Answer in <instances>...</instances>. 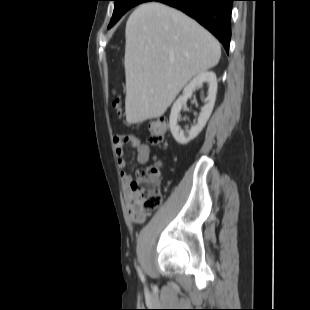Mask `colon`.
Listing matches in <instances>:
<instances>
[{"label": "colon", "mask_w": 310, "mask_h": 310, "mask_svg": "<svg viewBox=\"0 0 310 310\" xmlns=\"http://www.w3.org/2000/svg\"><path fill=\"white\" fill-rule=\"evenodd\" d=\"M114 107L119 111V100L114 102ZM168 125L166 120L158 119L151 121L148 125L149 141L153 145L162 143ZM159 166L154 165L146 169H140L136 173V178L130 182V190L135 194L136 201L145 210H155L162 204V192L158 185Z\"/></svg>", "instance_id": "5ec220e1"}]
</instances>
